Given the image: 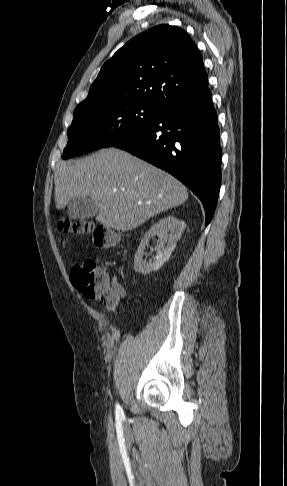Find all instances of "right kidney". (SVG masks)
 <instances>
[{
    "label": "right kidney",
    "instance_id": "ca27d5eb",
    "mask_svg": "<svg viewBox=\"0 0 287 486\" xmlns=\"http://www.w3.org/2000/svg\"><path fill=\"white\" fill-rule=\"evenodd\" d=\"M185 229V223L173 216L160 219L145 234L134 256V270L143 275L157 271L169 259ZM158 237V244L155 248L156 255L147 262L143 259L145 247L149 245L150 239Z\"/></svg>",
    "mask_w": 287,
    "mask_h": 486
}]
</instances>
